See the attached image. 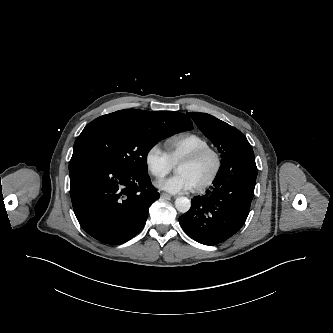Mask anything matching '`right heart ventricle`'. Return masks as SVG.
Listing matches in <instances>:
<instances>
[{"instance_id": "1", "label": "right heart ventricle", "mask_w": 333, "mask_h": 333, "mask_svg": "<svg viewBox=\"0 0 333 333\" xmlns=\"http://www.w3.org/2000/svg\"><path fill=\"white\" fill-rule=\"evenodd\" d=\"M165 147L167 155L174 164L196 150L209 147V143L198 134L183 132L168 138L165 141Z\"/></svg>"}]
</instances>
